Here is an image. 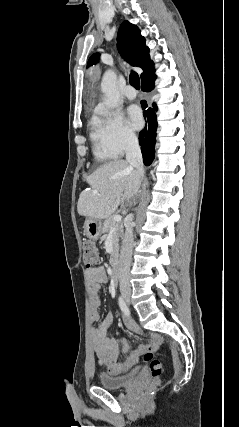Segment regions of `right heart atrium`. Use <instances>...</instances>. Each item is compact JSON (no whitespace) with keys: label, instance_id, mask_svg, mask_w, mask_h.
Segmentation results:
<instances>
[{"label":"right heart atrium","instance_id":"1","mask_svg":"<svg viewBox=\"0 0 239 427\" xmlns=\"http://www.w3.org/2000/svg\"><path fill=\"white\" fill-rule=\"evenodd\" d=\"M99 113L100 128L108 146L116 156H122L136 146L135 133L119 113L104 108L100 109Z\"/></svg>","mask_w":239,"mask_h":427}]
</instances>
